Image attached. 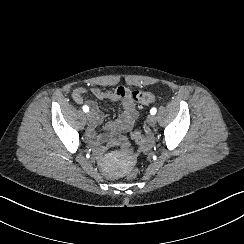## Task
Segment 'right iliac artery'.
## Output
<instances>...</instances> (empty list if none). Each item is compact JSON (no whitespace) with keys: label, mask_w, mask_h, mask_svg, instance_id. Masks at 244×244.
Listing matches in <instances>:
<instances>
[{"label":"right iliac artery","mask_w":244,"mask_h":244,"mask_svg":"<svg viewBox=\"0 0 244 244\" xmlns=\"http://www.w3.org/2000/svg\"><path fill=\"white\" fill-rule=\"evenodd\" d=\"M83 111H84V112H88V111H89V107H88V106H86V105H85V106H83Z\"/></svg>","instance_id":"obj_1"}]
</instances>
